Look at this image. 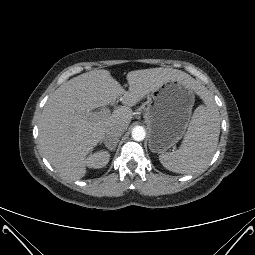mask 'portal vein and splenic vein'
I'll list each match as a JSON object with an SVG mask.
<instances>
[{
	"instance_id": "18ae733b",
	"label": "portal vein and splenic vein",
	"mask_w": 255,
	"mask_h": 255,
	"mask_svg": "<svg viewBox=\"0 0 255 255\" xmlns=\"http://www.w3.org/2000/svg\"><path fill=\"white\" fill-rule=\"evenodd\" d=\"M102 114H103V115H108V114H110V111H108V110L103 111Z\"/></svg>"
}]
</instances>
